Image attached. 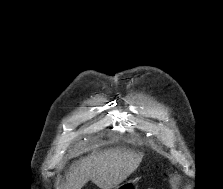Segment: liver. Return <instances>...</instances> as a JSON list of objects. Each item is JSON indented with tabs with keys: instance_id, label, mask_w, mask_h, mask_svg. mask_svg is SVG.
I'll return each instance as SVG.
<instances>
[{
	"instance_id": "1",
	"label": "liver",
	"mask_w": 223,
	"mask_h": 189,
	"mask_svg": "<svg viewBox=\"0 0 223 189\" xmlns=\"http://www.w3.org/2000/svg\"><path fill=\"white\" fill-rule=\"evenodd\" d=\"M142 158V153L119 148L96 152L70 167L60 189H81L89 180L101 189H112L138 168Z\"/></svg>"
}]
</instances>
